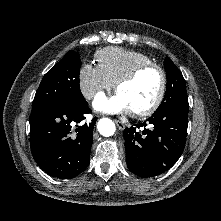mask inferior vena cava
<instances>
[{
	"label": "inferior vena cava",
	"instance_id": "1",
	"mask_svg": "<svg viewBox=\"0 0 221 221\" xmlns=\"http://www.w3.org/2000/svg\"><path fill=\"white\" fill-rule=\"evenodd\" d=\"M94 95V91H92L89 95V97H92Z\"/></svg>",
	"mask_w": 221,
	"mask_h": 221
}]
</instances>
